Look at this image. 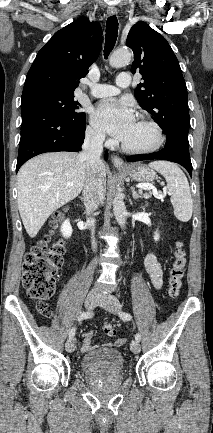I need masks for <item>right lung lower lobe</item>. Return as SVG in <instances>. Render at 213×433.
Returning <instances> with one entry per match:
<instances>
[{
  "label": "right lung lower lobe",
  "instance_id": "obj_1",
  "mask_svg": "<svg viewBox=\"0 0 213 433\" xmlns=\"http://www.w3.org/2000/svg\"><path fill=\"white\" fill-rule=\"evenodd\" d=\"M85 123L76 125L50 109L23 105L16 172L25 161L41 153L80 151L85 137Z\"/></svg>",
  "mask_w": 213,
  "mask_h": 433
}]
</instances>
